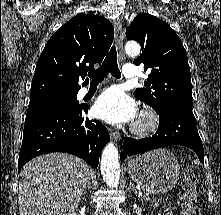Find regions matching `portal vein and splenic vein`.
Here are the masks:
<instances>
[{
    "mask_svg": "<svg viewBox=\"0 0 221 215\" xmlns=\"http://www.w3.org/2000/svg\"><path fill=\"white\" fill-rule=\"evenodd\" d=\"M144 199H145V200H148V199H149V197H148V196H144Z\"/></svg>",
    "mask_w": 221,
    "mask_h": 215,
    "instance_id": "portal-vein-and-splenic-vein-1",
    "label": "portal vein and splenic vein"
}]
</instances>
